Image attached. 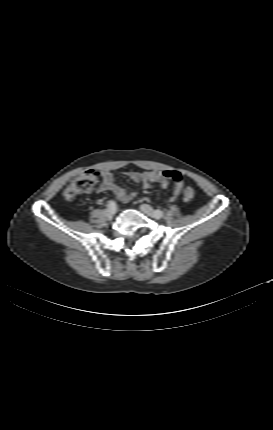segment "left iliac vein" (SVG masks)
Here are the masks:
<instances>
[{"mask_svg": "<svg viewBox=\"0 0 273 430\" xmlns=\"http://www.w3.org/2000/svg\"><path fill=\"white\" fill-rule=\"evenodd\" d=\"M140 210L149 217L159 219L150 205L142 204L140 205Z\"/></svg>", "mask_w": 273, "mask_h": 430, "instance_id": "1", "label": "left iliac vein"}]
</instances>
